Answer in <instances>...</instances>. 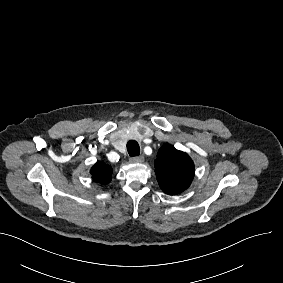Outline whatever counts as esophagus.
Instances as JSON below:
<instances>
[{
	"mask_svg": "<svg viewBox=\"0 0 283 283\" xmlns=\"http://www.w3.org/2000/svg\"><path fill=\"white\" fill-rule=\"evenodd\" d=\"M129 160H130L131 163H142V162H144V156L139 155V156H136V157H130Z\"/></svg>",
	"mask_w": 283,
	"mask_h": 283,
	"instance_id": "34e87169",
	"label": "esophagus"
}]
</instances>
